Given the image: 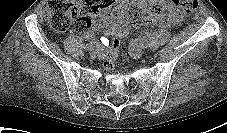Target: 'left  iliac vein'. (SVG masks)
I'll return each instance as SVG.
<instances>
[{"instance_id": "4c4485c4", "label": "left iliac vein", "mask_w": 227, "mask_h": 133, "mask_svg": "<svg viewBox=\"0 0 227 133\" xmlns=\"http://www.w3.org/2000/svg\"><path fill=\"white\" fill-rule=\"evenodd\" d=\"M129 54L136 59H140L143 56V51L135 46L129 47Z\"/></svg>"}]
</instances>
